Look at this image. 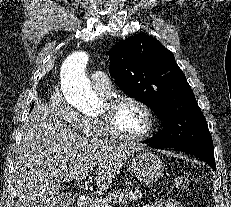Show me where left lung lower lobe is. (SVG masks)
Here are the masks:
<instances>
[{
	"label": "left lung lower lobe",
	"instance_id": "left-lung-lower-lobe-1",
	"mask_svg": "<svg viewBox=\"0 0 231 207\" xmlns=\"http://www.w3.org/2000/svg\"><path fill=\"white\" fill-rule=\"evenodd\" d=\"M150 147L153 148H161L155 145L154 142L149 141ZM182 152H186L189 154H192L194 156H197L198 158L202 159L204 162H206L210 167L213 168V170L216 171V165H215V159H214V148L209 146H188V147H180L176 148Z\"/></svg>",
	"mask_w": 231,
	"mask_h": 207
}]
</instances>
